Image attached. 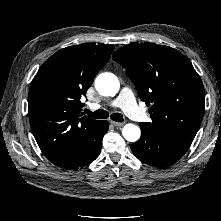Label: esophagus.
Listing matches in <instances>:
<instances>
[{"mask_svg": "<svg viewBox=\"0 0 221 221\" xmlns=\"http://www.w3.org/2000/svg\"><path fill=\"white\" fill-rule=\"evenodd\" d=\"M111 123L116 127H121L125 124L124 122H116V121H111Z\"/></svg>", "mask_w": 221, "mask_h": 221, "instance_id": "34e87169", "label": "esophagus"}]
</instances>
